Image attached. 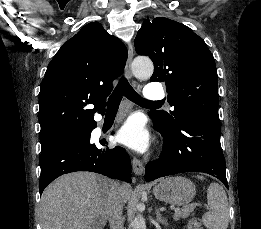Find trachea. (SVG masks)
<instances>
[{
  "label": "trachea",
  "mask_w": 261,
  "mask_h": 229,
  "mask_svg": "<svg viewBox=\"0 0 261 229\" xmlns=\"http://www.w3.org/2000/svg\"><path fill=\"white\" fill-rule=\"evenodd\" d=\"M123 96L141 106L153 104L151 100L143 99V97H141L129 84L128 80L125 77H122L109 97L107 102V112L116 113Z\"/></svg>",
  "instance_id": "trachea-1"
}]
</instances>
